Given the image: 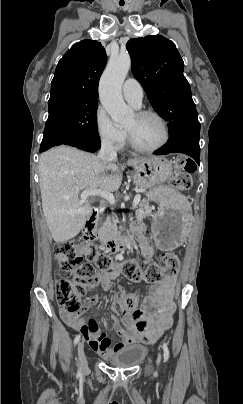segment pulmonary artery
Segmentation results:
<instances>
[{
	"mask_svg": "<svg viewBox=\"0 0 243 404\" xmlns=\"http://www.w3.org/2000/svg\"><path fill=\"white\" fill-rule=\"evenodd\" d=\"M124 98L134 107H139L143 98V88L135 78H127L122 86Z\"/></svg>",
	"mask_w": 243,
	"mask_h": 404,
	"instance_id": "1",
	"label": "pulmonary artery"
}]
</instances>
